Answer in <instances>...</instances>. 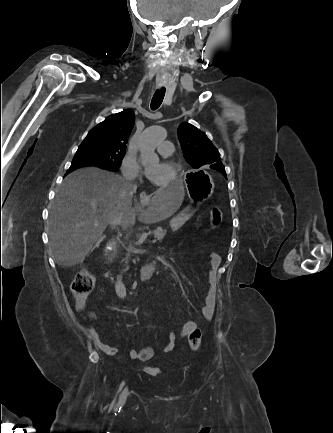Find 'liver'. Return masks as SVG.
Segmentation results:
<instances>
[{"label":"liver","instance_id":"1","mask_svg":"<svg viewBox=\"0 0 333 433\" xmlns=\"http://www.w3.org/2000/svg\"><path fill=\"white\" fill-rule=\"evenodd\" d=\"M185 183H166L138 220L153 224L176 215L186 201ZM136 189L118 174L86 167L67 175L51 203L48 223L54 260L63 267L83 263L115 215L125 226Z\"/></svg>","mask_w":333,"mask_h":433}]
</instances>
